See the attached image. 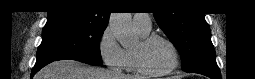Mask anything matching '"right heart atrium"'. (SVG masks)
Returning <instances> with one entry per match:
<instances>
[{"label": "right heart atrium", "instance_id": "d8ad5b80", "mask_svg": "<svg viewBox=\"0 0 255 79\" xmlns=\"http://www.w3.org/2000/svg\"><path fill=\"white\" fill-rule=\"evenodd\" d=\"M98 48L105 65L115 71L125 67V50L118 44L109 27L101 34Z\"/></svg>", "mask_w": 255, "mask_h": 79}]
</instances>
